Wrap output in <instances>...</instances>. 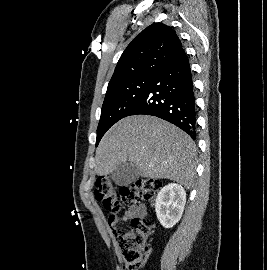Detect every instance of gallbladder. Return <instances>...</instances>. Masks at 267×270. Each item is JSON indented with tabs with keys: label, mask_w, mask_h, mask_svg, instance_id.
I'll return each instance as SVG.
<instances>
[{
	"label": "gallbladder",
	"mask_w": 267,
	"mask_h": 270,
	"mask_svg": "<svg viewBox=\"0 0 267 270\" xmlns=\"http://www.w3.org/2000/svg\"><path fill=\"white\" fill-rule=\"evenodd\" d=\"M140 177L138 167L131 162L123 163L111 173L112 180L118 186H127Z\"/></svg>",
	"instance_id": "bac80fb5"
}]
</instances>
